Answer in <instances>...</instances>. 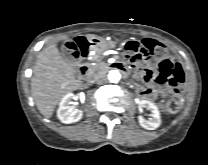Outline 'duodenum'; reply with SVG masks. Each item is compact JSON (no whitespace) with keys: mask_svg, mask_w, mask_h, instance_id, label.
<instances>
[{"mask_svg":"<svg viewBox=\"0 0 208 165\" xmlns=\"http://www.w3.org/2000/svg\"><path fill=\"white\" fill-rule=\"evenodd\" d=\"M88 52L89 51H87V53ZM111 66L117 67L125 74L128 73V70L126 68H124L123 66H121L120 64L107 65L106 68L109 69V68H111ZM78 78H79V81L82 85H87L91 81V78L89 75V69L84 62H81L78 66Z\"/></svg>","mask_w":208,"mask_h":165,"instance_id":"410a0bca","label":"duodenum"}]
</instances>
